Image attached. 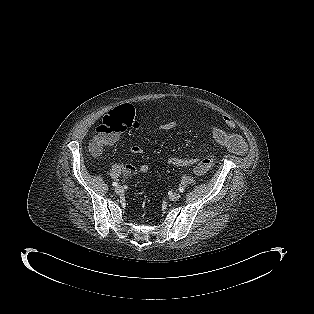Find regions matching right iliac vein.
I'll use <instances>...</instances> for the list:
<instances>
[{
	"label": "right iliac vein",
	"mask_w": 314,
	"mask_h": 314,
	"mask_svg": "<svg viewBox=\"0 0 314 314\" xmlns=\"http://www.w3.org/2000/svg\"><path fill=\"white\" fill-rule=\"evenodd\" d=\"M115 192H116L117 194L122 193V192H123V187L120 186V185L116 186V187H115Z\"/></svg>",
	"instance_id": "63e3f726"
}]
</instances>
